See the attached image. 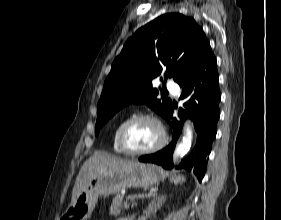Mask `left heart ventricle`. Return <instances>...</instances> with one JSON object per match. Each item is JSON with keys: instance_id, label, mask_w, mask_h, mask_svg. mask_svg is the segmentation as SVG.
Masks as SVG:
<instances>
[{"instance_id": "b2bd125f", "label": "left heart ventricle", "mask_w": 281, "mask_h": 220, "mask_svg": "<svg viewBox=\"0 0 281 220\" xmlns=\"http://www.w3.org/2000/svg\"><path fill=\"white\" fill-rule=\"evenodd\" d=\"M161 138L158 126L149 120H141L132 124L126 131L127 144L136 150L150 148Z\"/></svg>"}]
</instances>
